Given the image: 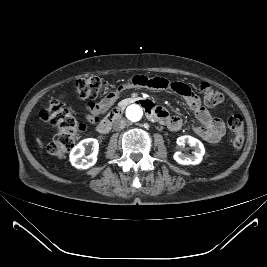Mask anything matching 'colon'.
Segmentation results:
<instances>
[{
	"mask_svg": "<svg viewBox=\"0 0 267 267\" xmlns=\"http://www.w3.org/2000/svg\"><path fill=\"white\" fill-rule=\"evenodd\" d=\"M107 87V82L100 77L91 76L75 81L73 89L75 94L81 99L92 100L97 98ZM203 103L216 108L224 101L223 94L208 83L200 86ZM40 117L49 122L55 129V135L48 144L46 150L54 157H63L75 145L83 125L59 100H51L49 104L40 112ZM228 128L234 135L233 146L236 149L242 148L244 144V123L239 114L231 115L227 120Z\"/></svg>",
	"mask_w": 267,
	"mask_h": 267,
	"instance_id": "obj_1",
	"label": "colon"
}]
</instances>
